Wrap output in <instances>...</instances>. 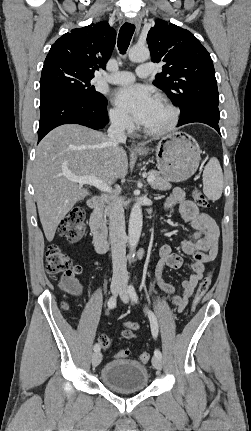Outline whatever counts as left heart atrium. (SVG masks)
I'll list each match as a JSON object with an SVG mask.
<instances>
[{"label": "left heart atrium", "mask_w": 251, "mask_h": 431, "mask_svg": "<svg viewBox=\"0 0 251 431\" xmlns=\"http://www.w3.org/2000/svg\"><path fill=\"white\" fill-rule=\"evenodd\" d=\"M113 100L118 108L140 124L147 121L159 101L148 87L142 85H128L118 89Z\"/></svg>", "instance_id": "obj_1"}]
</instances>
